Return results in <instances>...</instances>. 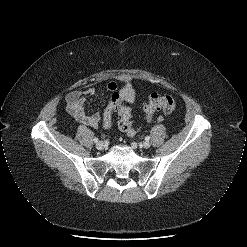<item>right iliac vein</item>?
I'll return each mask as SVG.
<instances>
[{
    "mask_svg": "<svg viewBox=\"0 0 247 247\" xmlns=\"http://www.w3.org/2000/svg\"><path fill=\"white\" fill-rule=\"evenodd\" d=\"M96 148L98 150H103L105 148V143L103 141H100L96 144Z\"/></svg>",
    "mask_w": 247,
    "mask_h": 247,
    "instance_id": "obj_1",
    "label": "right iliac vein"
}]
</instances>
